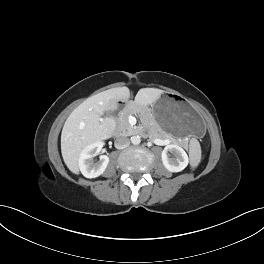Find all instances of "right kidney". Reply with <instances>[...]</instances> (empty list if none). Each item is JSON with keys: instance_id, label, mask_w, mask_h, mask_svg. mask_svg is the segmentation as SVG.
Here are the masks:
<instances>
[{"instance_id": "1", "label": "right kidney", "mask_w": 264, "mask_h": 264, "mask_svg": "<svg viewBox=\"0 0 264 264\" xmlns=\"http://www.w3.org/2000/svg\"><path fill=\"white\" fill-rule=\"evenodd\" d=\"M102 147V142H95L86 146L81 151L79 156V168L86 178H96L104 173L109 163V157L101 155L98 162L94 163L93 161V157L101 151Z\"/></svg>"}]
</instances>
